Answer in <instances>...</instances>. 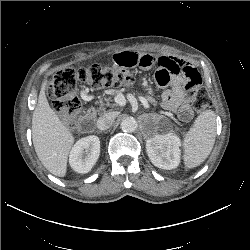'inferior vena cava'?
<instances>
[{"label": "inferior vena cava", "instance_id": "1", "mask_svg": "<svg viewBox=\"0 0 250 250\" xmlns=\"http://www.w3.org/2000/svg\"><path fill=\"white\" fill-rule=\"evenodd\" d=\"M115 119L114 113H106L101 116L97 121V128L99 130H107L111 127Z\"/></svg>", "mask_w": 250, "mask_h": 250}]
</instances>
